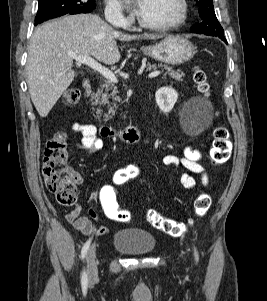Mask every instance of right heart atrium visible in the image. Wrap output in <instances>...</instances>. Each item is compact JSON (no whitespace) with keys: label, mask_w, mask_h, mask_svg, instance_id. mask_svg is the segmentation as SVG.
Returning a JSON list of instances; mask_svg holds the SVG:
<instances>
[{"label":"right heart atrium","mask_w":267,"mask_h":301,"mask_svg":"<svg viewBox=\"0 0 267 301\" xmlns=\"http://www.w3.org/2000/svg\"><path fill=\"white\" fill-rule=\"evenodd\" d=\"M105 17L109 21L127 23L128 18L124 15L121 5L117 0H106Z\"/></svg>","instance_id":"obj_1"}]
</instances>
